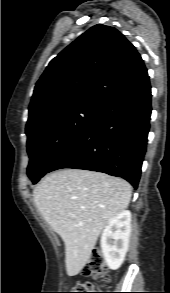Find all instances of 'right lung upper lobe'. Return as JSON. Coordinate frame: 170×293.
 Here are the masks:
<instances>
[{
    "mask_svg": "<svg viewBox=\"0 0 170 293\" xmlns=\"http://www.w3.org/2000/svg\"><path fill=\"white\" fill-rule=\"evenodd\" d=\"M147 75L125 36L97 24L51 60L36 83L26 129L79 104L102 105Z\"/></svg>",
    "mask_w": 170,
    "mask_h": 293,
    "instance_id": "right-lung-upper-lobe-1",
    "label": "right lung upper lobe"
}]
</instances>
